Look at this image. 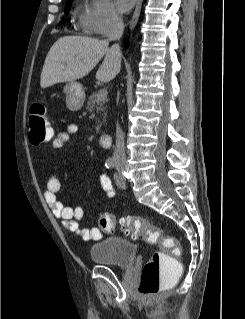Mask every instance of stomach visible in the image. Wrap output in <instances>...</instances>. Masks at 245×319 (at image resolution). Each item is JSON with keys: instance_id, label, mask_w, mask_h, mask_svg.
Masks as SVG:
<instances>
[{"instance_id": "1", "label": "stomach", "mask_w": 245, "mask_h": 319, "mask_svg": "<svg viewBox=\"0 0 245 319\" xmlns=\"http://www.w3.org/2000/svg\"><path fill=\"white\" fill-rule=\"evenodd\" d=\"M66 95V105L70 111H78L83 106L85 93L82 85L79 82L72 81L64 87Z\"/></svg>"}]
</instances>
